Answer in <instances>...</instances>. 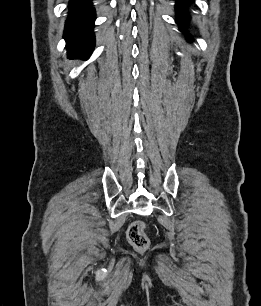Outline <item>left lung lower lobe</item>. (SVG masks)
<instances>
[{
    "mask_svg": "<svg viewBox=\"0 0 261 306\" xmlns=\"http://www.w3.org/2000/svg\"><path fill=\"white\" fill-rule=\"evenodd\" d=\"M176 13H177V23L179 24L180 29H182L184 26L187 25V22L189 21L190 17L185 14L183 11L184 3L192 2L193 0H176ZM188 39H191L190 36H188Z\"/></svg>",
    "mask_w": 261,
    "mask_h": 306,
    "instance_id": "1",
    "label": "left lung lower lobe"
}]
</instances>
